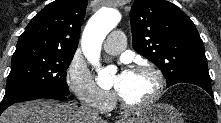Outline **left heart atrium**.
Here are the masks:
<instances>
[{
  "label": "left heart atrium",
  "instance_id": "39dd6f15",
  "mask_svg": "<svg viewBox=\"0 0 221 123\" xmlns=\"http://www.w3.org/2000/svg\"><path fill=\"white\" fill-rule=\"evenodd\" d=\"M129 72H130V71H128V70H123L119 75H120L121 77H125V76L128 75Z\"/></svg>",
  "mask_w": 221,
  "mask_h": 123
}]
</instances>
